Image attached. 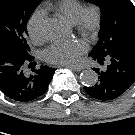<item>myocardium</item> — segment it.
Returning a JSON list of instances; mask_svg holds the SVG:
<instances>
[{
  "label": "myocardium",
  "mask_w": 135,
  "mask_h": 135,
  "mask_svg": "<svg viewBox=\"0 0 135 135\" xmlns=\"http://www.w3.org/2000/svg\"><path fill=\"white\" fill-rule=\"evenodd\" d=\"M103 15L97 4L83 6L76 21L77 30L87 38L95 37L102 25Z\"/></svg>",
  "instance_id": "myocardium-1"
}]
</instances>
